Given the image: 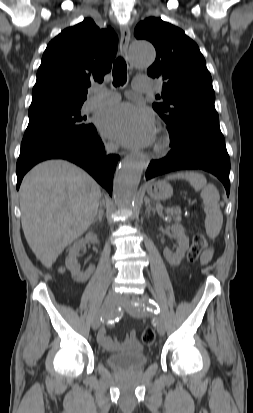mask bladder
I'll return each mask as SVG.
<instances>
[{
  "label": "bladder",
  "instance_id": "bladder-1",
  "mask_svg": "<svg viewBox=\"0 0 253 413\" xmlns=\"http://www.w3.org/2000/svg\"><path fill=\"white\" fill-rule=\"evenodd\" d=\"M148 358L142 348L110 354L106 357L109 367L120 371H133L143 368Z\"/></svg>",
  "mask_w": 253,
  "mask_h": 413
}]
</instances>
